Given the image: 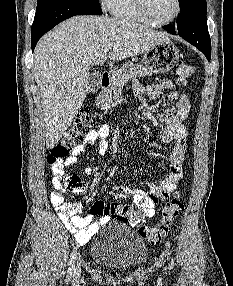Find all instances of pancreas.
I'll return each instance as SVG.
<instances>
[{
	"mask_svg": "<svg viewBox=\"0 0 233 286\" xmlns=\"http://www.w3.org/2000/svg\"><path fill=\"white\" fill-rule=\"evenodd\" d=\"M151 75L152 72L142 65L133 62L125 63L122 67L112 72L111 85L99 95L96 105L100 107L101 110H110L113 105V100L118 98L125 83L129 79Z\"/></svg>",
	"mask_w": 233,
	"mask_h": 286,
	"instance_id": "cf45deb5",
	"label": "pancreas"
}]
</instances>
